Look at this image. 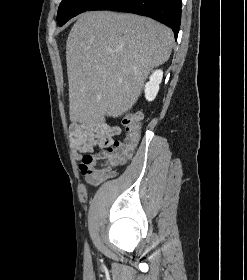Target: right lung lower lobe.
<instances>
[{
  "label": "right lung lower lobe",
  "instance_id": "right-lung-lower-lobe-1",
  "mask_svg": "<svg viewBox=\"0 0 247 280\" xmlns=\"http://www.w3.org/2000/svg\"><path fill=\"white\" fill-rule=\"evenodd\" d=\"M89 10H112L151 17L169 26L175 39L180 29V0H100Z\"/></svg>",
  "mask_w": 247,
  "mask_h": 280
}]
</instances>
